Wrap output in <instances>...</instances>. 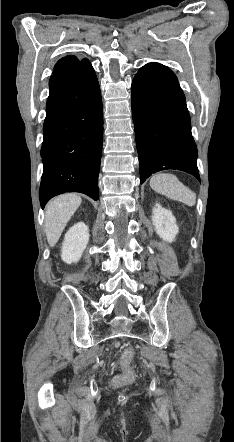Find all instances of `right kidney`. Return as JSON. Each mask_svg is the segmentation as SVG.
Listing matches in <instances>:
<instances>
[{
    "mask_svg": "<svg viewBox=\"0 0 234 442\" xmlns=\"http://www.w3.org/2000/svg\"><path fill=\"white\" fill-rule=\"evenodd\" d=\"M89 241V228L78 222L65 234L61 247V258L67 264L79 261Z\"/></svg>",
    "mask_w": 234,
    "mask_h": 442,
    "instance_id": "ca27d5eb",
    "label": "right kidney"
}]
</instances>
